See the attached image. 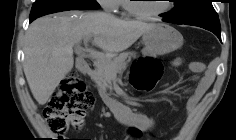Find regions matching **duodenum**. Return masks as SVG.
Masks as SVG:
<instances>
[{
    "instance_id": "obj_1",
    "label": "duodenum",
    "mask_w": 236,
    "mask_h": 140,
    "mask_svg": "<svg viewBox=\"0 0 236 140\" xmlns=\"http://www.w3.org/2000/svg\"><path fill=\"white\" fill-rule=\"evenodd\" d=\"M77 66L82 72L85 73L90 72V67L85 55H81L78 58ZM105 103L112 109V111L116 114V116L120 120H127L129 117L132 116L128 108H126L124 105L118 102L105 99Z\"/></svg>"
}]
</instances>
